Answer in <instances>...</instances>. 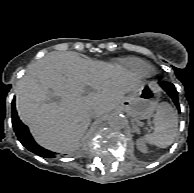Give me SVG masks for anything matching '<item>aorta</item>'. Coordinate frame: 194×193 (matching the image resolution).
<instances>
[{"mask_svg":"<svg viewBox=\"0 0 194 193\" xmlns=\"http://www.w3.org/2000/svg\"><path fill=\"white\" fill-rule=\"evenodd\" d=\"M108 124L112 129L120 130L126 126L127 120L123 115L119 113H113L108 118Z\"/></svg>","mask_w":194,"mask_h":193,"instance_id":"obj_1","label":"aorta"}]
</instances>
